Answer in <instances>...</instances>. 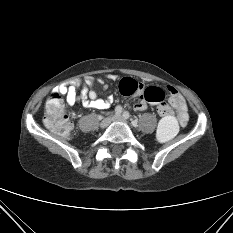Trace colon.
Here are the masks:
<instances>
[{
    "label": "colon",
    "instance_id": "1",
    "mask_svg": "<svg viewBox=\"0 0 233 233\" xmlns=\"http://www.w3.org/2000/svg\"><path fill=\"white\" fill-rule=\"evenodd\" d=\"M119 89L123 95L140 94L145 101L160 104L159 113L162 119L157 128V138L163 143L174 139L178 131V119L164 103L165 92L161 88L143 89L142 84L136 80L125 78L120 82ZM44 123L51 131L62 137H69L71 134L72 124L65 113L63 100L58 92H53L46 103Z\"/></svg>",
    "mask_w": 233,
    "mask_h": 233
}]
</instances>
